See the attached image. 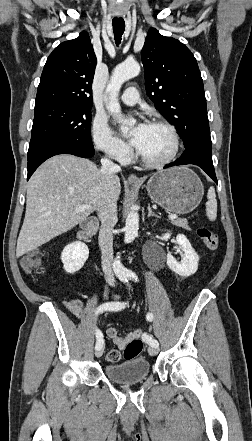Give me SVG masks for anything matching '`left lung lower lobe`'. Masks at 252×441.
I'll use <instances>...</instances> for the list:
<instances>
[{
    "instance_id": "1",
    "label": "left lung lower lobe",
    "mask_w": 252,
    "mask_h": 441,
    "mask_svg": "<svg viewBox=\"0 0 252 441\" xmlns=\"http://www.w3.org/2000/svg\"><path fill=\"white\" fill-rule=\"evenodd\" d=\"M193 164L201 167L216 183L217 178L212 162V146L208 144H197L184 151L174 162L166 165L169 168L175 165Z\"/></svg>"
}]
</instances>
